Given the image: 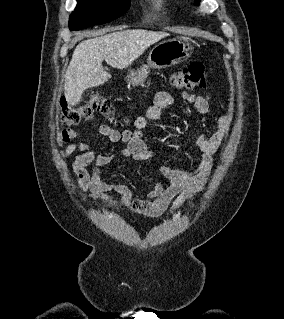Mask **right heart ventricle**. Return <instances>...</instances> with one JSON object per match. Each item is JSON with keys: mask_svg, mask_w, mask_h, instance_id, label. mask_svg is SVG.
Instances as JSON below:
<instances>
[{"mask_svg": "<svg viewBox=\"0 0 284 319\" xmlns=\"http://www.w3.org/2000/svg\"><path fill=\"white\" fill-rule=\"evenodd\" d=\"M155 7L159 10H166L168 8V3L166 0H152Z\"/></svg>", "mask_w": 284, "mask_h": 319, "instance_id": "right-heart-ventricle-1", "label": "right heart ventricle"}]
</instances>
